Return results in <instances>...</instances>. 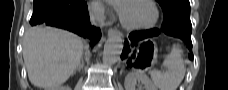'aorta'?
Masks as SVG:
<instances>
[{"instance_id":"obj_1","label":"aorta","mask_w":228,"mask_h":90,"mask_svg":"<svg viewBox=\"0 0 228 90\" xmlns=\"http://www.w3.org/2000/svg\"><path fill=\"white\" fill-rule=\"evenodd\" d=\"M123 44L120 34L112 35L108 38L103 51V63L107 65L115 64L122 52Z\"/></svg>"}]
</instances>
